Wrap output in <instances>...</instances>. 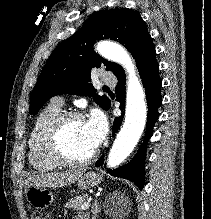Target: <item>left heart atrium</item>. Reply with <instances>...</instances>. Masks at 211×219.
I'll return each instance as SVG.
<instances>
[{"label": "left heart atrium", "mask_w": 211, "mask_h": 219, "mask_svg": "<svg viewBox=\"0 0 211 219\" xmlns=\"http://www.w3.org/2000/svg\"><path fill=\"white\" fill-rule=\"evenodd\" d=\"M86 134L89 138L91 145L98 147L107 133L106 119L99 111H94L89 119L84 122Z\"/></svg>", "instance_id": "1"}]
</instances>
